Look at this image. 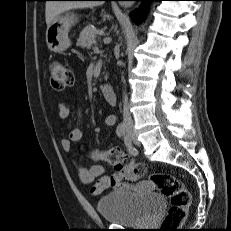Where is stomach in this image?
I'll return each mask as SVG.
<instances>
[{"instance_id": "stomach-1", "label": "stomach", "mask_w": 231, "mask_h": 231, "mask_svg": "<svg viewBox=\"0 0 231 231\" xmlns=\"http://www.w3.org/2000/svg\"><path fill=\"white\" fill-rule=\"evenodd\" d=\"M77 22L73 13H66L56 17L46 30V43L50 51L59 53L71 46L68 33L71 27Z\"/></svg>"}]
</instances>
